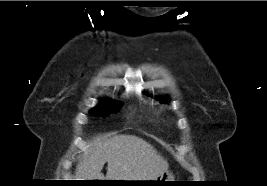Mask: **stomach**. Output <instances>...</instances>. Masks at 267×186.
Listing matches in <instances>:
<instances>
[{"label": "stomach", "instance_id": "stomach-1", "mask_svg": "<svg viewBox=\"0 0 267 186\" xmlns=\"http://www.w3.org/2000/svg\"><path fill=\"white\" fill-rule=\"evenodd\" d=\"M150 181H154V182H150L148 185L160 186V185H169L168 184L169 182H165V181H175V180H174V175L171 172L165 171L162 174H160L158 177Z\"/></svg>", "mask_w": 267, "mask_h": 186}]
</instances>
